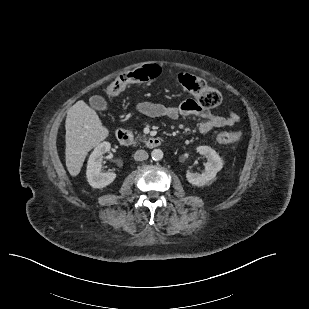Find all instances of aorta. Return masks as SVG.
I'll list each match as a JSON object with an SVG mask.
<instances>
[{"mask_svg": "<svg viewBox=\"0 0 309 309\" xmlns=\"http://www.w3.org/2000/svg\"><path fill=\"white\" fill-rule=\"evenodd\" d=\"M163 151L161 149H154L151 152V157L154 161H159L163 158Z\"/></svg>", "mask_w": 309, "mask_h": 309, "instance_id": "762f6f07", "label": "aorta"}]
</instances>
